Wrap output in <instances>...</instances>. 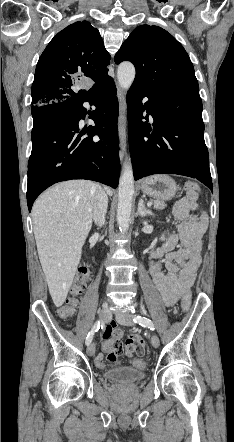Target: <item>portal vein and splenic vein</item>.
Listing matches in <instances>:
<instances>
[{"mask_svg":"<svg viewBox=\"0 0 234 442\" xmlns=\"http://www.w3.org/2000/svg\"><path fill=\"white\" fill-rule=\"evenodd\" d=\"M148 206H151L152 205V203L151 202H149L148 204H147Z\"/></svg>","mask_w":234,"mask_h":442,"instance_id":"obj_1","label":"portal vein and splenic vein"}]
</instances>
